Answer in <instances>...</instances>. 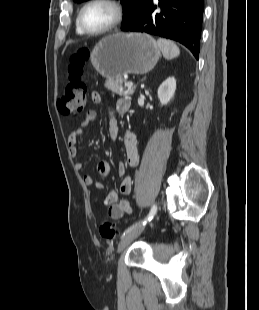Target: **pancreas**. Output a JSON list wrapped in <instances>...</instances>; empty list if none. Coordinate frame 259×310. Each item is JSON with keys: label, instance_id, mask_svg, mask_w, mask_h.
<instances>
[{"label": "pancreas", "instance_id": "cf45deb5", "mask_svg": "<svg viewBox=\"0 0 259 310\" xmlns=\"http://www.w3.org/2000/svg\"><path fill=\"white\" fill-rule=\"evenodd\" d=\"M125 80L122 77L116 79H107L105 82V87L108 90H111L113 93L118 94L120 96H129L134 93L135 88L125 89L122 84Z\"/></svg>", "mask_w": 259, "mask_h": 310}]
</instances>
